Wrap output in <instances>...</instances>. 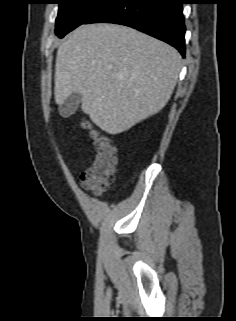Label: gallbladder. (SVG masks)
Listing matches in <instances>:
<instances>
[{
	"instance_id": "1",
	"label": "gallbladder",
	"mask_w": 236,
	"mask_h": 321,
	"mask_svg": "<svg viewBox=\"0 0 236 321\" xmlns=\"http://www.w3.org/2000/svg\"><path fill=\"white\" fill-rule=\"evenodd\" d=\"M82 101L80 93H72L63 104L59 106V113L62 117L68 118L74 114L78 108L79 103Z\"/></svg>"
}]
</instances>
